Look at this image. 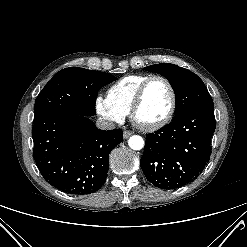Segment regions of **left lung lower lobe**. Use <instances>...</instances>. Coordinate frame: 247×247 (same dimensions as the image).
Segmentation results:
<instances>
[{"instance_id": "1", "label": "left lung lower lobe", "mask_w": 247, "mask_h": 247, "mask_svg": "<svg viewBox=\"0 0 247 247\" xmlns=\"http://www.w3.org/2000/svg\"><path fill=\"white\" fill-rule=\"evenodd\" d=\"M213 110H194L147 134L140 165L147 180L162 189L194 181L211 154Z\"/></svg>"}]
</instances>
